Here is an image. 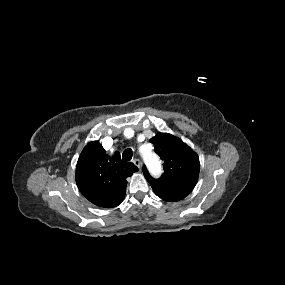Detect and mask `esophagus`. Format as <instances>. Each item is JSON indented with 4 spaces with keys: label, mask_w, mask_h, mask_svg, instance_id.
Returning <instances> with one entry per match:
<instances>
[{
    "label": "esophagus",
    "mask_w": 285,
    "mask_h": 285,
    "mask_svg": "<svg viewBox=\"0 0 285 285\" xmlns=\"http://www.w3.org/2000/svg\"><path fill=\"white\" fill-rule=\"evenodd\" d=\"M133 163L139 168L141 169V161L139 159H134Z\"/></svg>",
    "instance_id": "1"
}]
</instances>
